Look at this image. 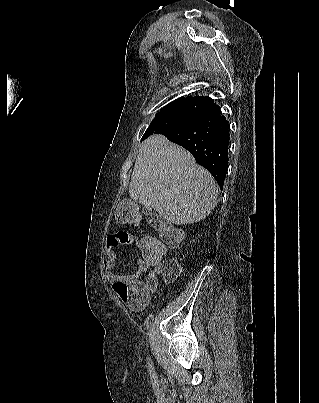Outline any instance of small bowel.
Masks as SVG:
<instances>
[{
	"mask_svg": "<svg viewBox=\"0 0 319 403\" xmlns=\"http://www.w3.org/2000/svg\"><path fill=\"white\" fill-rule=\"evenodd\" d=\"M107 237L104 269L111 286L116 287L117 301L124 302V309H146L147 300L152 299L151 286L147 279L140 278L150 268L153 269L151 274L158 271L156 261L141 254L136 272L116 274L114 270L118 265V255L114 249H138V236L134 235L133 229H112L107 232Z\"/></svg>",
	"mask_w": 319,
	"mask_h": 403,
	"instance_id": "c3829d8e",
	"label": "small bowel"
}]
</instances>
